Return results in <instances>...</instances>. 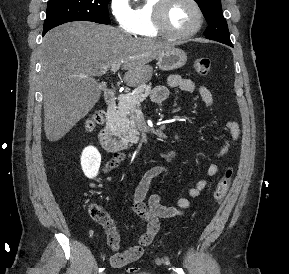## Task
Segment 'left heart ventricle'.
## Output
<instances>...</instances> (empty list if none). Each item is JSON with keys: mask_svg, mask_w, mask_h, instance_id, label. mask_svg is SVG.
<instances>
[{"mask_svg": "<svg viewBox=\"0 0 289 274\" xmlns=\"http://www.w3.org/2000/svg\"><path fill=\"white\" fill-rule=\"evenodd\" d=\"M167 23L175 32L191 30L197 23V13L188 0H174L167 12Z\"/></svg>", "mask_w": 289, "mask_h": 274, "instance_id": "1", "label": "left heart ventricle"}]
</instances>
